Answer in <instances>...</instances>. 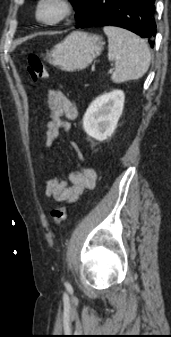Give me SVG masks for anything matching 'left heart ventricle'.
Masks as SVG:
<instances>
[{
	"mask_svg": "<svg viewBox=\"0 0 171 337\" xmlns=\"http://www.w3.org/2000/svg\"><path fill=\"white\" fill-rule=\"evenodd\" d=\"M59 13V9L54 4L45 5L41 11V16L46 19H52L56 17Z\"/></svg>",
	"mask_w": 171,
	"mask_h": 337,
	"instance_id": "left-heart-ventricle-1",
	"label": "left heart ventricle"
}]
</instances>
